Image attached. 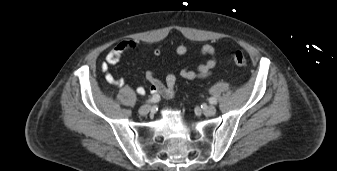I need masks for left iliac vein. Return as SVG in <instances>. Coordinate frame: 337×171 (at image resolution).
Masks as SVG:
<instances>
[{"label": "left iliac vein", "mask_w": 337, "mask_h": 171, "mask_svg": "<svg viewBox=\"0 0 337 171\" xmlns=\"http://www.w3.org/2000/svg\"><path fill=\"white\" fill-rule=\"evenodd\" d=\"M216 113V108L212 105L203 108V114L206 116H213Z\"/></svg>", "instance_id": "1"}]
</instances>
